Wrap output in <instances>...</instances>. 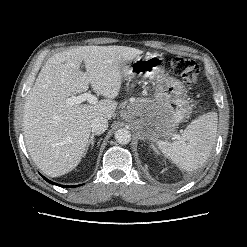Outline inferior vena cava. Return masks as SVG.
<instances>
[{
	"label": "inferior vena cava",
	"mask_w": 247,
	"mask_h": 247,
	"mask_svg": "<svg viewBox=\"0 0 247 247\" xmlns=\"http://www.w3.org/2000/svg\"><path fill=\"white\" fill-rule=\"evenodd\" d=\"M92 132L101 134L108 128V121L104 117H96L91 123Z\"/></svg>",
	"instance_id": "obj_1"
}]
</instances>
